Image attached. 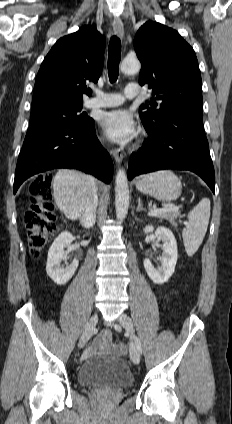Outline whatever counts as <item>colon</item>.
<instances>
[{
    "label": "colon",
    "mask_w": 232,
    "mask_h": 424,
    "mask_svg": "<svg viewBox=\"0 0 232 424\" xmlns=\"http://www.w3.org/2000/svg\"><path fill=\"white\" fill-rule=\"evenodd\" d=\"M29 191L31 207L25 212L24 222L30 254L33 258H38L55 230V216L51 194L43 179L33 180L30 183ZM116 343L122 353L128 351V346L124 345L123 339H118Z\"/></svg>",
    "instance_id": "5ec220e1"
}]
</instances>
